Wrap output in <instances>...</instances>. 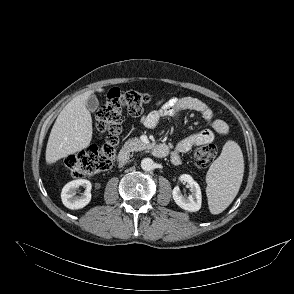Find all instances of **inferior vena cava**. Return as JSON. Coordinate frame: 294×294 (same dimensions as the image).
<instances>
[{
	"instance_id": "1",
	"label": "inferior vena cava",
	"mask_w": 294,
	"mask_h": 294,
	"mask_svg": "<svg viewBox=\"0 0 294 294\" xmlns=\"http://www.w3.org/2000/svg\"><path fill=\"white\" fill-rule=\"evenodd\" d=\"M126 162V159H124L123 161H122V163H125Z\"/></svg>"
}]
</instances>
